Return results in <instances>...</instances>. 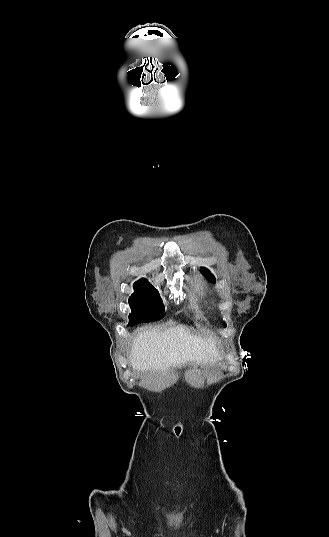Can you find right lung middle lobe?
<instances>
[{
    "mask_svg": "<svg viewBox=\"0 0 329 537\" xmlns=\"http://www.w3.org/2000/svg\"><path fill=\"white\" fill-rule=\"evenodd\" d=\"M134 293L129 298L132 312L129 315V324L155 321L164 315L162 299L150 283L142 278L134 283Z\"/></svg>",
    "mask_w": 329,
    "mask_h": 537,
    "instance_id": "dd1d6c3e",
    "label": "right lung middle lobe"
}]
</instances>
